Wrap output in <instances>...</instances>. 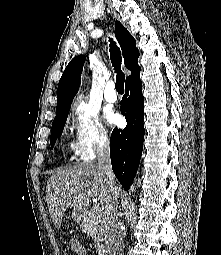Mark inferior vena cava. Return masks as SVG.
<instances>
[{"mask_svg": "<svg viewBox=\"0 0 221 255\" xmlns=\"http://www.w3.org/2000/svg\"><path fill=\"white\" fill-rule=\"evenodd\" d=\"M98 167L104 173L109 183L114 182L115 176L111 167L109 141L101 137L97 147ZM111 200L104 211V240L107 255H123L122 234L118 223V191L111 189Z\"/></svg>", "mask_w": 221, "mask_h": 255, "instance_id": "1", "label": "inferior vena cava"}]
</instances>
